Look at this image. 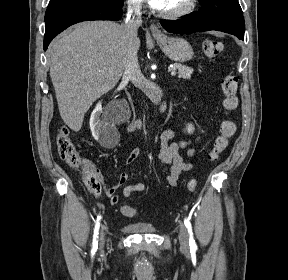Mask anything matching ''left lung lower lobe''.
Listing matches in <instances>:
<instances>
[{
	"instance_id": "left-lung-lower-lobe-1",
	"label": "left lung lower lobe",
	"mask_w": 288,
	"mask_h": 280,
	"mask_svg": "<svg viewBox=\"0 0 288 280\" xmlns=\"http://www.w3.org/2000/svg\"><path fill=\"white\" fill-rule=\"evenodd\" d=\"M161 25L169 32L190 34L195 32L217 30L235 35L244 40V30H241L228 22L218 20L205 15L201 10L187 15L179 20H162Z\"/></svg>"
}]
</instances>
